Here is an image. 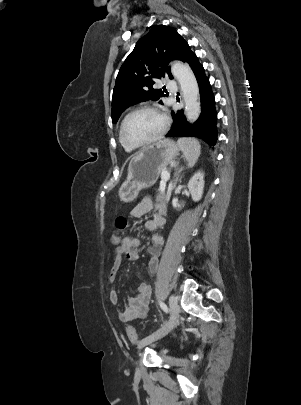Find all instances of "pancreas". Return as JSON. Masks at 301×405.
I'll return each instance as SVG.
<instances>
[{
    "mask_svg": "<svg viewBox=\"0 0 301 405\" xmlns=\"http://www.w3.org/2000/svg\"><path fill=\"white\" fill-rule=\"evenodd\" d=\"M163 171H166V169H163L161 171V173ZM169 202V196L165 195L164 192H162L159 189V194L156 197V208L160 211V212H166V208H167V204Z\"/></svg>",
    "mask_w": 301,
    "mask_h": 405,
    "instance_id": "1",
    "label": "pancreas"
}]
</instances>
